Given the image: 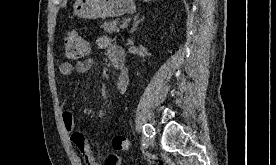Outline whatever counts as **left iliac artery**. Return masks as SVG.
Segmentation results:
<instances>
[{
  "mask_svg": "<svg viewBox=\"0 0 276 165\" xmlns=\"http://www.w3.org/2000/svg\"><path fill=\"white\" fill-rule=\"evenodd\" d=\"M154 132V128L151 124H145L143 126V134H144V137H143V146H147L148 145V142H149V138L152 137V134Z\"/></svg>",
  "mask_w": 276,
  "mask_h": 165,
  "instance_id": "1",
  "label": "left iliac artery"
}]
</instances>
